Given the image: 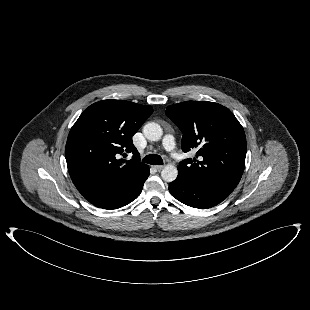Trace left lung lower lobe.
<instances>
[{"label": "left lung lower lobe", "mask_w": 310, "mask_h": 310, "mask_svg": "<svg viewBox=\"0 0 310 310\" xmlns=\"http://www.w3.org/2000/svg\"><path fill=\"white\" fill-rule=\"evenodd\" d=\"M169 191L180 202L195 208H210L229 196V192L192 181L181 175L169 183Z\"/></svg>", "instance_id": "1"}]
</instances>
